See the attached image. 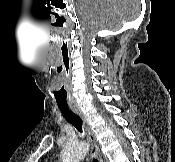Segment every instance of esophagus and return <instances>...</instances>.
Listing matches in <instances>:
<instances>
[{
  "mask_svg": "<svg viewBox=\"0 0 175 162\" xmlns=\"http://www.w3.org/2000/svg\"><path fill=\"white\" fill-rule=\"evenodd\" d=\"M71 110L75 114H77L82 120L85 133H86L87 138L90 142L91 156L93 158H96L99 162H103L98 141L96 139L94 132L92 131V128H91L87 118L85 117V115L83 114V112L81 111V109L79 107H71Z\"/></svg>",
  "mask_w": 175,
  "mask_h": 162,
  "instance_id": "esophagus-1",
  "label": "esophagus"
}]
</instances>
